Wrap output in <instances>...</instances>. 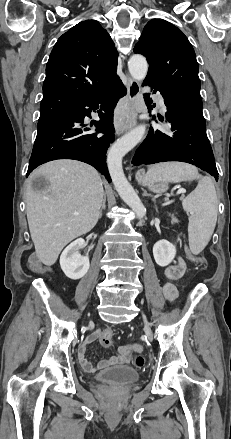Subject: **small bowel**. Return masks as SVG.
I'll list each match as a JSON object with an SVG mask.
<instances>
[{
  "instance_id": "1",
  "label": "small bowel",
  "mask_w": 231,
  "mask_h": 439,
  "mask_svg": "<svg viewBox=\"0 0 231 439\" xmlns=\"http://www.w3.org/2000/svg\"><path fill=\"white\" fill-rule=\"evenodd\" d=\"M185 271V262L182 258L178 257L176 262L164 270V275L166 279L168 280L163 285V294L165 298L173 302L178 292L175 288V286L171 283L172 280H176L180 278ZM111 332L110 329H105L104 331H97L89 335L86 340L79 346L78 349V360L80 365L84 370L87 372H95L99 369L106 368L108 366L113 365H120V364H126L131 359V352L134 351H140L141 347L138 345H122L120 346L115 355L111 356L108 359L101 360L97 365H92L86 358V347L87 344L94 342L97 338L102 337L104 333Z\"/></svg>"
}]
</instances>
